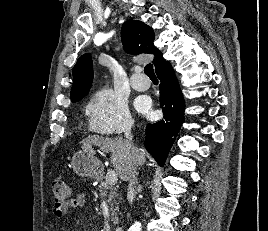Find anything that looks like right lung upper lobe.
Segmentation results:
<instances>
[{
	"label": "right lung upper lobe",
	"instance_id": "1",
	"mask_svg": "<svg viewBox=\"0 0 268 231\" xmlns=\"http://www.w3.org/2000/svg\"><path fill=\"white\" fill-rule=\"evenodd\" d=\"M121 36L126 52L130 54L150 53L154 54L153 64L156 71L168 64L162 53L153 45L155 38L151 27L141 21L130 19L121 29ZM93 81V67L90 54L82 55L73 69V86L71 89V101L76 102L86 96Z\"/></svg>",
	"mask_w": 268,
	"mask_h": 231
}]
</instances>
